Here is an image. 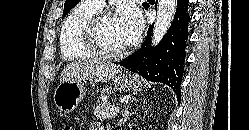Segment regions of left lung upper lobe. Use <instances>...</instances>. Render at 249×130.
Returning <instances> with one entry per match:
<instances>
[{
    "instance_id": "5c2ea615",
    "label": "left lung upper lobe",
    "mask_w": 249,
    "mask_h": 130,
    "mask_svg": "<svg viewBox=\"0 0 249 130\" xmlns=\"http://www.w3.org/2000/svg\"><path fill=\"white\" fill-rule=\"evenodd\" d=\"M79 0H66L64 4L63 15H66L77 3ZM148 3H143V7L147 9Z\"/></svg>"
}]
</instances>
